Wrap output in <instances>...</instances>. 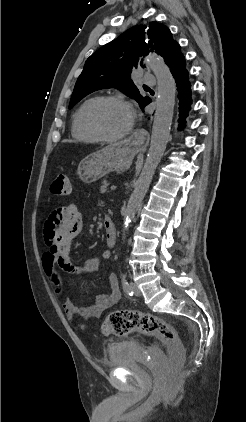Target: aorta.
Returning a JSON list of instances; mask_svg holds the SVG:
<instances>
[{"label": "aorta", "mask_w": 246, "mask_h": 422, "mask_svg": "<svg viewBox=\"0 0 246 422\" xmlns=\"http://www.w3.org/2000/svg\"><path fill=\"white\" fill-rule=\"evenodd\" d=\"M157 79V106L154 115L150 148L124 214V231L134 218L149 186L158 164L163 157L172 123L176 85L165 62L155 55L146 60ZM125 235V232H124Z\"/></svg>", "instance_id": "1"}]
</instances>
